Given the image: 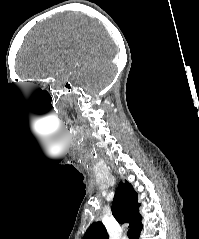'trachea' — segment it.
Returning a JSON list of instances; mask_svg holds the SVG:
<instances>
[{
	"label": "trachea",
	"mask_w": 199,
	"mask_h": 239,
	"mask_svg": "<svg viewBox=\"0 0 199 239\" xmlns=\"http://www.w3.org/2000/svg\"><path fill=\"white\" fill-rule=\"evenodd\" d=\"M127 235H128V237H129V239H134L133 230H129V231L127 232Z\"/></svg>",
	"instance_id": "1"
}]
</instances>
